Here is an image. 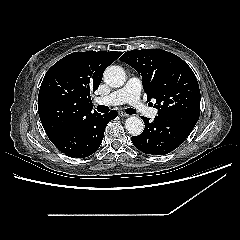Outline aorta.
<instances>
[{"label": "aorta", "mask_w": 240, "mask_h": 240, "mask_svg": "<svg viewBox=\"0 0 240 240\" xmlns=\"http://www.w3.org/2000/svg\"><path fill=\"white\" fill-rule=\"evenodd\" d=\"M104 82L110 87H121L125 82V71L120 66H109L104 72ZM125 128L133 136L140 135L144 130V122L137 116H131L125 121Z\"/></svg>", "instance_id": "obj_1"}]
</instances>
